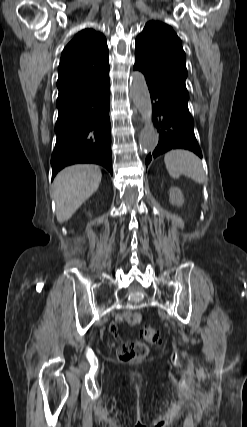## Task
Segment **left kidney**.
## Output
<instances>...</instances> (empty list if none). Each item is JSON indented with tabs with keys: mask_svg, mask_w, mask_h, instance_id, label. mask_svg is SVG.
I'll return each instance as SVG.
<instances>
[{
	"mask_svg": "<svg viewBox=\"0 0 247 427\" xmlns=\"http://www.w3.org/2000/svg\"><path fill=\"white\" fill-rule=\"evenodd\" d=\"M169 200L172 205L182 206L184 203V196L178 187H171L169 190Z\"/></svg>",
	"mask_w": 247,
	"mask_h": 427,
	"instance_id": "obj_1",
	"label": "left kidney"
}]
</instances>
